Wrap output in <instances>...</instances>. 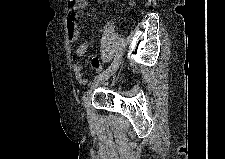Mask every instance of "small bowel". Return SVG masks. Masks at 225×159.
Listing matches in <instances>:
<instances>
[{"mask_svg": "<svg viewBox=\"0 0 225 159\" xmlns=\"http://www.w3.org/2000/svg\"><path fill=\"white\" fill-rule=\"evenodd\" d=\"M87 7L86 0H76L71 7L69 8L66 20V28H67V35L68 39L71 43L77 41L79 37V30L78 25L76 22V16L79 12L85 10ZM89 48V42L84 41L82 42L75 50V54L78 57L84 56ZM91 65L93 68L97 70L102 69V64L100 60L96 56L91 57ZM73 75L74 78L80 84H85L86 79L84 77V67L83 65L76 63L73 65Z\"/></svg>", "mask_w": 225, "mask_h": 159, "instance_id": "obj_1", "label": "small bowel"}]
</instances>
